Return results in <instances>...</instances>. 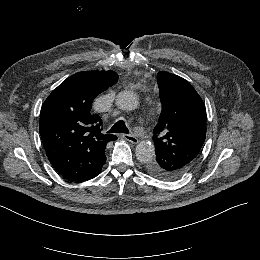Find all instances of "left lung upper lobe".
I'll use <instances>...</instances> for the list:
<instances>
[{
    "mask_svg": "<svg viewBox=\"0 0 260 260\" xmlns=\"http://www.w3.org/2000/svg\"><path fill=\"white\" fill-rule=\"evenodd\" d=\"M157 79L163 108L154 129L156 159L149 163L147 171L155 177L174 180L198 158L206 135V110L185 79L163 71Z\"/></svg>",
    "mask_w": 260,
    "mask_h": 260,
    "instance_id": "1",
    "label": "left lung upper lobe"
}]
</instances>
